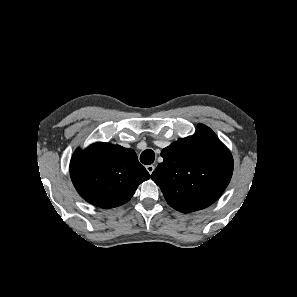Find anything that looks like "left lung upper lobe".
I'll list each match as a JSON object with an SVG mask.
<instances>
[{"mask_svg":"<svg viewBox=\"0 0 297 297\" xmlns=\"http://www.w3.org/2000/svg\"><path fill=\"white\" fill-rule=\"evenodd\" d=\"M164 161L151 175L167 203L183 213L208 207L228 186L233 158L207 126L199 124L193 136L179 139L161 152Z\"/></svg>","mask_w":297,"mask_h":297,"instance_id":"1","label":"left lung upper lobe"}]
</instances>
